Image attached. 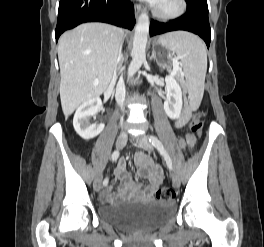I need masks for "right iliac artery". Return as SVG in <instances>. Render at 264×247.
Returning <instances> with one entry per match:
<instances>
[{
    "instance_id": "right-iliac-artery-1",
    "label": "right iliac artery",
    "mask_w": 264,
    "mask_h": 247,
    "mask_svg": "<svg viewBox=\"0 0 264 247\" xmlns=\"http://www.w3.org/2000/svg\"><path fill=\"white\" fill-rule=\"evenodd\" d=\"M118 157H119V151L116 150L112 154V161L113 162L116 161L118 159ZM108 181H109L108 178H105L104 181H103V185L106 186L108 184Z\"/></svg>"
}]
</instances>
